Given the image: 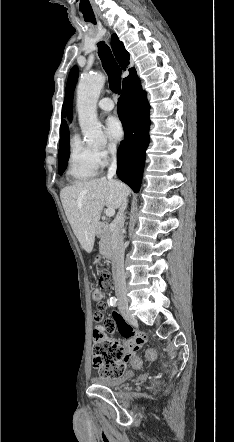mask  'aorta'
Returning <instances> with one entry per match:
<instances>
[{"instance_id":"762f6f07","label":"aorta","mask_w":234,"mask_h":442,"mask_svg":"<svg viewBox=\"0 0 234 442\" xmlns=\"http://www.w3.org/2000/svg\"><path fill=\"white\" fill-rule=\"evenodd\" d=\"M105 83L101 73L84 75L77 88V110L82 133L90 144H103L106 140L97 119L96 105Z\"/></svg>"}]
</instances>
